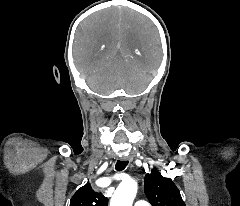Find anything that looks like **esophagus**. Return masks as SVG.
<instances>
[{
  "instance_id": "1",
  "label": "esophagus",
  "mask_w": 240,
  "mask_h": 206,
  "mask_svg": "<svg viewBox=\"0 0 240 206\" xmlns=\"http://www.w3.org/2000/svg\"><path fill=\"white\" fill-rule=\"evenodd\" d=\"M120 161H123V162L129 161V162H131V161H132V158H131V157H121V158H120Z\"/></svg>"
}]
</instances>
